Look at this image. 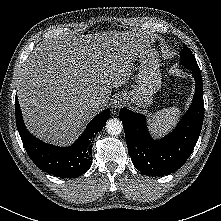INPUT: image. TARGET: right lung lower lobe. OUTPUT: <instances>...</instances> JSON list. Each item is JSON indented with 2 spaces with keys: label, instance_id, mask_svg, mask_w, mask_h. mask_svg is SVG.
<instances>
[{
  "label": "right lung lower lobe",
  "instance_id": "right-lung-lower-lobe-1",
  "mask_svg": "<svg viewBox=\"0 0 221 221\" xmlns=\"http://www.w3.org/2000/svg\"><path fill=\"white\" fill-rule=\"evenodd\" d=\"M15 112L17 129L33 163L39 169L61 178L78 177L91 167L94 137L110 117V111L104 110L88 124L73 145L61 148L40 141L27 131L17 97Z\"/></svg>",
  "mask_w": 221,
  "mask_h": 221
}]
</instances>
